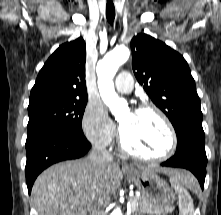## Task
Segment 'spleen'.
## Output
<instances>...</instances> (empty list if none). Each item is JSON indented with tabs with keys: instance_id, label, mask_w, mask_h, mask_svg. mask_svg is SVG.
<instances>
[{
	"instance_id": "1",
	"label": "spleen",
	"mask_w": 221,
	"mask_h": 215,
	"mask_svg": "<svg viewBox=\"0 0 221 215\" xmlns=\"http://www.w3.org/2000/svg\"><path fill=\"white\" fill-rule=\"evenodd\" d=\"M172 187L178 193L179 197V215H194V205L190 194L187 192L186 187L193 188L195 179L192 175L188 174L186 180H177L170 178Z\"/></svg>"
}]
</instances>
